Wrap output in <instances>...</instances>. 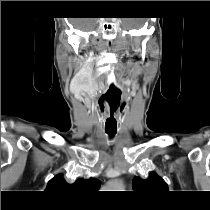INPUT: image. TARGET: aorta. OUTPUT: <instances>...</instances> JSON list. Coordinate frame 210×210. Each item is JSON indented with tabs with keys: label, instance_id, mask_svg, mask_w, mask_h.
<instances>
[{
	"label": "aorta",
	"instance_id": "aorta-1",
	"mask_svg": "<svg viewBox=\"0 0 210 210\" xmlns=\"http://www.w3.org/2000/svg\"><path fill=\"white\" fill-rule=\"evenodd\" d=\"M108 188L110 189H121L122 185L119 182H113L108 185Z\"/></svg>",
	"mask_w": 210,
	"mask_h": 210
}]
</instances>
